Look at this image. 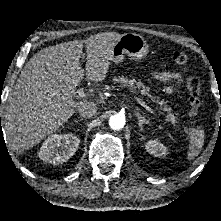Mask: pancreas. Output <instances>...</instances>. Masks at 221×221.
Listing matches in <instances>:
<instances>
[{
  "instance_id": "pancreas-1",
  "label": "pancreas",
  "mask_w": 221,
  "mask_h": 221,
  "mask_svg": "<svg viewBox=\"0 0 221 221\" xmlns=\"http://www.w3.org/2000/svg\"><path fill=\"white\" fill-rule=\"evenodd\" d=\"M114 84H119L120 87L128 88H138L142 95L147 96L151 101L155 102L160 109L164 112H167V120L171 121L173 124L177 123V118L171 112V108L166 105L165 101H160L156 97H153L149 92V87L145 86L141 80L130 79L124 76H118L113 79Z\"/></svg>"
}]
</instances>
